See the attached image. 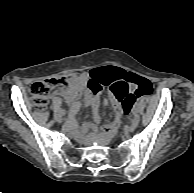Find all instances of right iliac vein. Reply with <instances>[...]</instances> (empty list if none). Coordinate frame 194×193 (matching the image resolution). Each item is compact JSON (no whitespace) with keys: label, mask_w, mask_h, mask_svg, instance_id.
<instances>
[{"label":"right iliac vein","mask_w":194,"mask_h":193,"mask_svg":"<svg viewBox=\"0 0 194 193\" xmlns=\"http://www.w3.org/2000/svg\"><path fill=\"white\" fill-rule=\"evenodd\" d=\"M57 121H58L59 123H62V122H63V119L60 118V117H58V118H57Z\"/></svg>","instance_id":"obj_1"}]
</instances>
